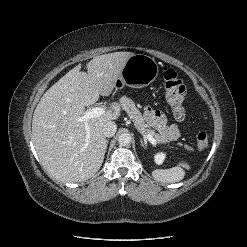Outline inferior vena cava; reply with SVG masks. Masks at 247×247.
<instances>
[{"label":"inferior vena cava","instance_id":"inferior-vena-cava-1","mask_svg":"<svg viewBox=\"0 0 247 247\" xmlns=\"http://www.w3.org/2000/svg\"><path fill=\"white\" fill-rule=\"evenodd\" d=\"M117 130V125L115 122L109 121L106 122L103 126V134L105 137H112L115 135Z\"/></svg>","mask_w":247,"mask_h":247}]
</instances>
